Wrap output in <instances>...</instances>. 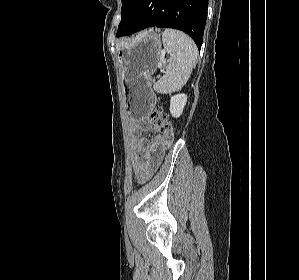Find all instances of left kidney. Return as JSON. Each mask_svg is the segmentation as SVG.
<instances>
[{"label": "left kidney", "instance_id": "left-kidney-1", "mask_svg": "<svg viewBox=\"0 0 299 280\" xmlns=\"http://www.w3.org/2000/svg\"><path fill=\"white\" fill-rule=\"evenodd\" d=\"M187 102V95L177 94L171 97L170 100V113L173 117L177 118L183 112L184 106Z\"/></svg>", "mask_w": 299, "mask_h": 280}]
</instances>
